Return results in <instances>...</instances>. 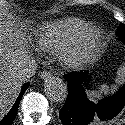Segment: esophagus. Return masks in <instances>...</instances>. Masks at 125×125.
Wrapping results in <instances>:
<instances>
[{"label": "esophagus", "mask_w": 125, "mask_h": 125, "mask_svg": "<svg viewBox=\"0 0 125 125\" xmlns=\"http://www.w3.org/2000/svg\"><path fill=\"white\" fill-rule=\"evenodd\" d=\"M40 77H41L42 79H48V78L51 77V73L48 72V71H43V72L40 73Z\"/></svg>", "instance_id": "1"}]
</instances>
